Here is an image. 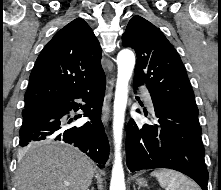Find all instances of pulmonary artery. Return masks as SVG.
<instances>
[{
	"instance_id": "obj_1",
	"label": "pulmonary artery",
	"mask_w": 221,
	"mask_h": 190,
	"mask_svg": "<svg viewBox=\"0 0 221 190\" xmlns=\"http://www.w3.org/2000/svg\"><path fill=\"white\" fill-rule=\"evenodd\" d=\"M143 97H144V100L146 101V103L151 107L152 106V101H151L150 95L147 92H145L143 94Z\"/></svg>"
}]
</instances>
